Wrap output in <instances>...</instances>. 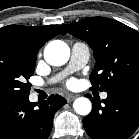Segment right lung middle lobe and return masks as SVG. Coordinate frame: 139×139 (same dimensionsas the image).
Instances as JSON below:
<instances>
[{
	"instance_id": "1",
	"label": "right lung middle lobe",
	"mask_w": 139,
	"mask_h": 139,
	"mask_svg": "<svg viewBox=\"0 0 139 139\" xmlns=\"http://www.w3.org/2000/svg\"><path fill=\"white\" fill-rule=\"evenodd\" d=\"M37 55L12 44H0V97H28V79L35 69Z\"/></svg>"
}]
</instances>
